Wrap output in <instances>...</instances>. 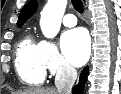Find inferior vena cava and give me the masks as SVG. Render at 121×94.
<instances>
[{
  "label": "inferior vena cava",
  "instance_id": "inferior-vena-cava-1",
  "mask_svg": "<svg viewBox=\"0 0 121 94\" xmlns=\"http://www.w3.org/2000/svg\"><path fill=\"white\" fill-rule=\"evenodd\" d=\"M77 78V71L70 65L59 68L55 78V86L59 94H71Z\"/></svg>",
  "mask_w": 121,
  "mask_h": 94
}]
</instances>
